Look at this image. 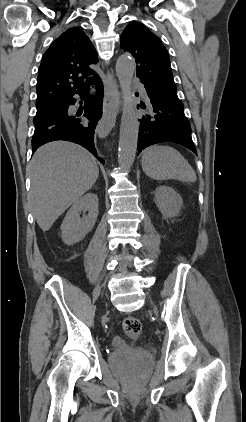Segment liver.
I'll return each mask as SVG.
<instances>
[{
	"label": "liver",
	"instance_id": "1",
	"mask_svg": "<svg viewBox=\"0 0 246 422\" xmlns=\"http://www.w3.org/2000/svg\"><path fill=\"white\" fill-rule=\"evenodd\" d=\"M32 213L43 231L96 182V159L83 147L54 141L40 147L29 164Z\"/></svg>",
	"mask_w": 246,
	"mask_h": 422
}]
</instances>
